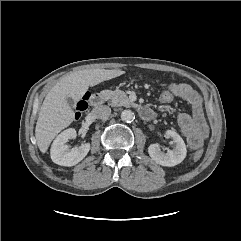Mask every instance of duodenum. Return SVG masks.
I'll return each instance as SVG.
<instances>
[{"mask_svg": "<svg viewBox=\"0 0 241 241\" xmlns=\"http://www.w3.org/2000/svg\"><path fill=\"white\" fill-rule=\"evenodd\" d=\"M90 102L93 107L98 108L104 103V96L100 93H96L91 96ZM140 115L145 120H151L155 116L154 112L149 108H143L140 111Z\"/></svg>", "mask_w": 241, "mask_h": 241, "instance_id": "410a0bca", "label": "duodenum"}]
</instances>
